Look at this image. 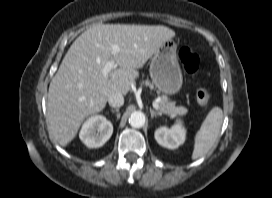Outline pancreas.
<instances>
[{"label": "pancreas", "mask_w": 272, "mask_h": 198, "mask_svg": "<svg viewBox=\"0 0 272 198\" xmlns=\"http://www.w3.org/2000/svg\"><path fill=\"white\" fill-rule=\"evenodd\" d=\"M144 84L146 86L153 87L148 80H146ZM158 105L161 112L167 115H185L188 112L187 108L184 106H176L175 102L169 101L167 96H162Z\"/></svg>", "instance_id": "1"}]
</instances>
